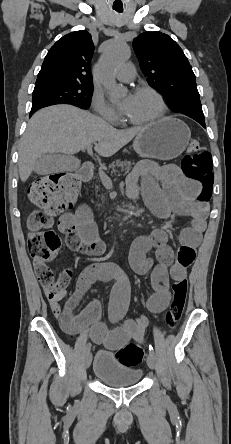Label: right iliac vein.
<instances>
[{"label":"right iliac vein","mask_w":231,"mask_h":444,"mask_svg":"<svg viewBox=\"0 0 231 444\" xmlns=\"http://www.w3.org/2000/svg\"><path fill=\"white\" fill-rule=\"evenodd\" d=\"M92 362V353L89 351L85 355V367L89 368Z\"/></svg>","instance_id":"right-iliac-vein-1"}]
</instances>
